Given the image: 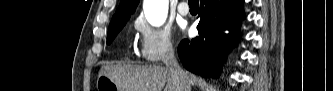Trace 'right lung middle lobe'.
Listing matches in <instances>:
<instances>
[{"mask_svg":"<svg viewBox=\"0 0 333 91\" xmlns=\"http://www.w3.org/2000/svg\"><path fill=\"white\" fill-rule=\"evenodd\" d=\"M129 18L120 19L117 21L110 22L108 35H107V44H111L114 38L117 36L119 31L124 27Z\"/></svg>","mask_w":333,"mask_h":91,"instance_id":"1","label":"right lung middle lobe"}]
</instances>
